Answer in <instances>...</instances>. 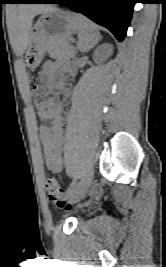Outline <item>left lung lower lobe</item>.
<instances>
[{
	"mask_svg": "<svg viewBox=\"0 0 166 267\" xmlns=\"http://www.w3.org/2000/svg\"><path fill=\"white\" fill-rule=\"evenodd\" d=\"M32 3H59L79 12L109 29L123 41L129 26L135 0H35Z\"/></svg>",
	"mask_w": 166,
	"mask_h": 267,
	"instance_id": "1",
	"label": "left lung lower lobe"
}]
</instances>
